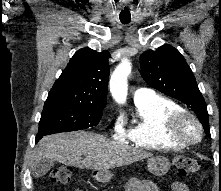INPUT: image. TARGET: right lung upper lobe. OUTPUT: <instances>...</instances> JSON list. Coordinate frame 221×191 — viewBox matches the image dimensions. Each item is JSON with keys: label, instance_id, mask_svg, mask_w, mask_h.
Returning a JSON list of instances; mask_svg holds the SVG:
<instances>
[{"label": "right lung upper lobe", "instance_id": "right-lung-upper-lobe-1", "mask_svg": "<svg viewBox=\"0 0 221 191\" xmlns=\"http://www.w3.org/2000/svg\"><path fill=\"white\" fill-rule=\"evenodd\" d=\"M107 50H78L54 83L44 105L86 104L106 106L110 73Z\"/></svg>", "mask_w": 221, "mask_h": 191}]
</instances>
